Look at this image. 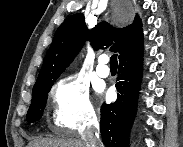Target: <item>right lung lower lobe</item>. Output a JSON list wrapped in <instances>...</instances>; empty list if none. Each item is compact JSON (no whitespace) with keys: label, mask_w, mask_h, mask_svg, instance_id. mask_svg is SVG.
<instances>
[{"label":"right lung lower lobe","mask_w":183,"mask_h":147,"mask_svg":"<svg viewBox=\"0 0 183 147\" xmlns=\"http://www.w3.org/2000/svg\"><path fill=\"white\" fill-rule=\"evenodd\" d=\"M119 61L117 100L101 107L100 129L106 147H128L142 79L143 49Z\"/></svg>","instance_id":"obj_1"}]
</instances>
